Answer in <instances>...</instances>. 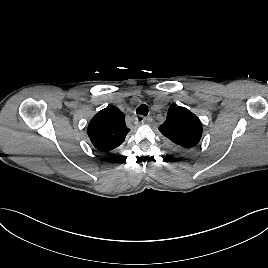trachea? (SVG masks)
I'll use <instances>...</instances> for the list:
<instances>
[{"instance_id":"trachea-1","label":"trachea","mask_w":268,"mask_h":268,"mask_svg":"<svg viewBox=\"0 0 268 268\" xmlns=\"http://www.w3.org/2000/svg\"><path fill=\"white\" fill-rule=\"evenodd\" d=\"M136 113L139 115L146 116L148 114V107L146 104H141L137 109Z\"/></svg>"}]
</instances>
